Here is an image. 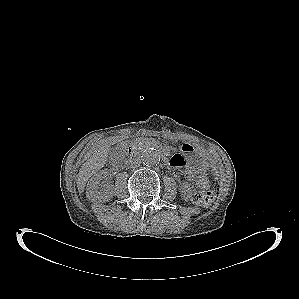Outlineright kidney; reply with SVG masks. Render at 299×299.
<instances>
[{"instance_id":"1","label":"right kidney","mask_w":299,"mask_h":299,"mask_svg":"<svg viewBox=\"0 0 299 299\" xmlns=\"http://www.w3.org/2000/svg\"><path fill=\"white\" fill-rule=\"evenodd\" d=\"M108 176V172L101 170L95 173L88 181L86 196L92 202H105L108 201L113 194V186L108 182H101L103 178Z\"/></svg>"}]
</instances>
